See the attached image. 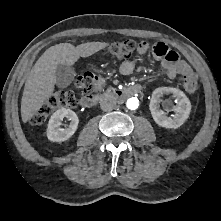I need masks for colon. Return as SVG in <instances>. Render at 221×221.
<instances>
[{
  "label": "colon",
  "mask_w": 221,
  "mask_h": 221,
  "mask_svg": "<svg viewBox=\"0 0 221 221\" xmlns=\"http://www.w3.org/2000/svg\"><path fill=\"white\" fill-rule=\"evenodd\" d=\"M138 43L132 39H126L116 42L111 45L109 52L118 59H128L132 56L134 51L138 48ZM96 83V77L86 72L76 81V86L83 93H90ZM183 86L188 93L198 92L199 86L197 78L194 74L188 75L183 79ZM78 99L74 93L70 91H57L50 95L42 104L40 109L35 112L32 117V123L40 125L45 122L47 117L56 109L74 107L77 105Z\"/></svg>",
  "instance_id": "colon-1"
}]
</instances>
